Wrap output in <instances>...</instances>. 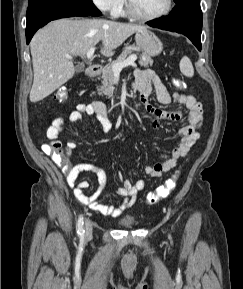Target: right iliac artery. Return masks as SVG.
Instances as JSON below:
<instances>
[{"mask_svg":"<svg viewBox=\"0 0 243 289\" xmlns=\"http://www.w3.org/2000/svg\"><path fill=\"white\" fill-rule=\"evenodd\" d=\"M83 216H80L79 219H78V235L80 236V238H83L84 236V227H83Z\"/></svg>","mask_w":243,"mask_h":289,"instance_id":"1","label":"right iliac artery"}]
</instances>
